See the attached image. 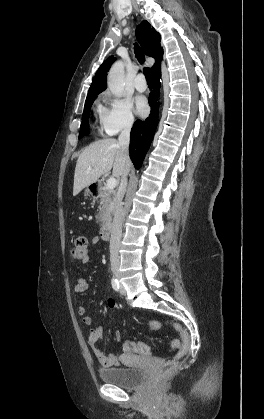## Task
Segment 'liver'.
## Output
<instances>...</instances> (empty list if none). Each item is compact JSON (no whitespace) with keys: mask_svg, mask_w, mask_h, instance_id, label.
Wrapping results in <instances>:
<instances>
[{"mask_svg":"<svg viewBox=\"0 0 264 419\" xmlns=\"http://www.w3.org/2000/svg\"><path fill=\"white\" fill-rule=\"evenodd\" d=\"M112 168L113 176L117 178L122 177L125 171L129 173L131 168L130 158H124L118 142L108 138L90 144L79 155L76 163L73 196L95 183Z\"/></svg>","mask_w":264,"mask_h":419,"instance_id":"liver-1","label":"liver"}]
</instances>
